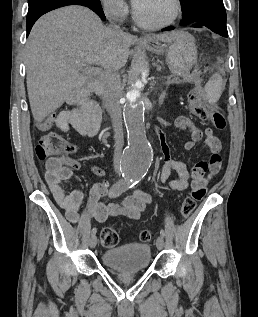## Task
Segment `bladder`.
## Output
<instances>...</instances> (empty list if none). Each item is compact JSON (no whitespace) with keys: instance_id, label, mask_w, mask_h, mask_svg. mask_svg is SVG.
<instances>
[{"instance_id":"obj_1","label":"bladder","mask_w":258,"mask_h":317,"mask_svg":"<svg viewBox=\"0 0 258 317\" xmlns=\"http://www.w3.org/2000/svg\"><path fill=\"white\" fill-rule=\"evenodd\" d=\"M150 260V246L139 242L106 250L102 255V261L107 267L125 272L145 270Z\"/></svg>"}]
</instances>
